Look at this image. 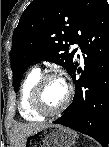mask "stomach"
<instances>
[{
	"label": "stomach",
	"instance_id": "obj_1",
	"mask_svg": "<svg viewBox=\"0 0 109 147\" xmlns=\"http://www.w3.org/2000/svg\"><path fill=\"white\" fill-rule=\"evenodd\" d=\"M77 134L69 128L56 124H47L44 128L27 136L28 147H71Z\"/></svg>",
	"mask_w": 109,
	"mask_h": 147
}]
</instances>
